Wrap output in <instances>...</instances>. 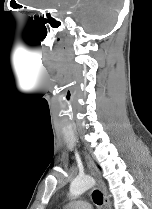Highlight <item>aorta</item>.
Masks as SVG:
<instances>
[{
	"instance_id": "obj_1",
	"label": "aorta",
	"mask_w": 152,
	"mask_h": 209,
	"mask_svg": "<svg viewBox=\"0 0 152 209\" xmlns=\"http://www.w3.org/2000/svg\"><path fill=\"white\" fill-rule=\"evenodd\" d=\"M95 184V179L90 176L77 177L70 184V195L73 198H76L88 189L92 188Z\"/></svg>"
}]
</instances>
